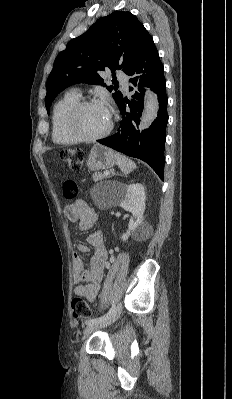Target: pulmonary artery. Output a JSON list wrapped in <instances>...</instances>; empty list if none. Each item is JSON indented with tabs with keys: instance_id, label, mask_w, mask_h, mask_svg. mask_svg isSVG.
I'll return each mask as SVG.
<instances>
[{
	"instance_id": "1",
	"label": "pulmonary artery",
	"mask_w": 232,
	"mask_h": 399,
	"mask_svg": "<svg viewBox=\"0 0 232 399\" xmlns=\"http://www.w3.org/2000/svg\"><path fill=\"white\" fill-rule=\"evenodd\" d=\"M114 74L116 75V78L121 81V83L123 85H126L127 80H126V78H123L122 71L120 69H116L114 71ZM72 89L73 90H79L80 89V84L79 83H73L72 84ZM71 94L79 96V93L77 91H74Z\"/></svg>"
}]
</instances>
